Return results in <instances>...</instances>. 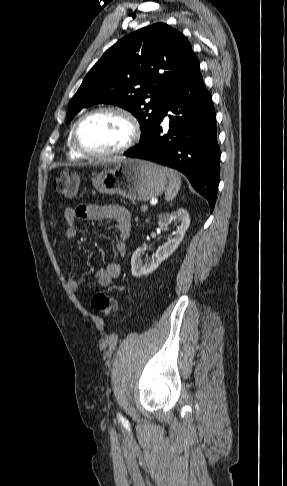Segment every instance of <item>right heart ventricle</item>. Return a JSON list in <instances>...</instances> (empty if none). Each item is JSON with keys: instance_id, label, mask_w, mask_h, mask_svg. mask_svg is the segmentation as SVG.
Returning a JSON list of instances; mask_svg holds the SVG:
<instances>
[{"instance_id": "1", "label": "right heart ventricle", "mask_w": 287, "mask_h": 486, "mask_svg": "<svg viewBox=\"0 0 287 486\" xmlns=\"http://www.w3.org/2000/svg\"><path fill=\"white\" fill-rule=\"evenodd\" d=\"M68 155L71 157V158H76V159H79V158H82L83 156L75 149L74 145H73V141H72V131L70 133V136L68 138Z\"/></svg>"}]
</instances>
